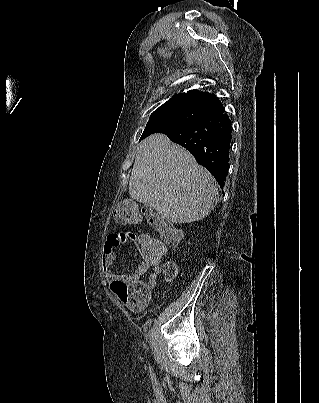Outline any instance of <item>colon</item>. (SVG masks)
I'll return each instance as SVG.
<instances>
[{"mask_svg":"<svg viewBox=\"0 0 319 403\" xmlns=\"http://www.w3.org/2000/svg\"><path fill=\"white\" fill-rule=\"evenodd\" d=\"M114 217L117 222L124 224H138L142 218V212L134 202L133 197H122L121 204L115 209ZM150 226L158 233L153 234L151 229H142L138 237L140 254H146L150 259L160 260L161 254H165L167 246H174L180 239L179 231L163 218L154 213L146 215ZM167 278L175 276L177 270L174 264L167 263L163 266ZM155 278L149 280V285L154 286ZM148 301V300H147ZM139 310V309H133Z\"/></svg>","mask_w":319,"mask_h":403,"instance_id":"1","label":"colon"}]
</instances>
